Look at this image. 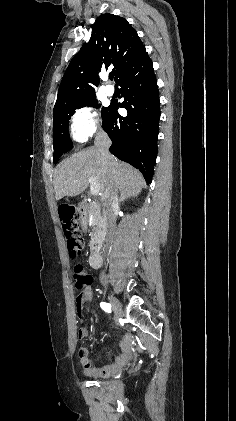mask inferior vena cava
Masks as SVG:
<instances>
[{
	"label": "inferior vena cava",
	"mask_w": 236,
	"mask_h": 421,
	"mask_svg": "<svg viewBox=\"0 0 236 421\" xmlns=\"http://www.w3.org/2000/svg\"><path fill=\"white\" fill-rule=\"evenodd\" d=\"M94 144L100 152L101 160L103 164H109L108 160L111 158V154L109 152V146H111V140L107 134L104 132L103 128H99ZM115 170H112V174H114ZM105 198H106V208H105V225L107 229L106 233V245L104 249H107L110 245L111 239H113V229L115 225V211H119V202L120 198L118 196V190H114L112 186H108L105 190ZM105 253V251H104Z\"/></svg>",
	"instance_id": "obj_1"
}]
</instances>
